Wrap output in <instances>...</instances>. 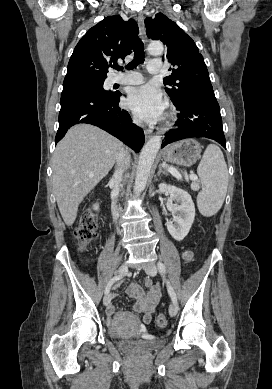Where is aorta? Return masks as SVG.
<instances>
[{
	"mask_svg": "<svg viewBox=\"0 0 272 389\" xmlns=\"http://www.w3.org/2000/svg\"><path fill=\"white\" fill-rule=\"evenodd\" d=\"M148 52L151 55L158 56L163 53V44L161 42H151L148 45ZM161 136H154L144 145L136 170V178L134 184V193H141L147 184L148 177L150 175L151 167L154 163L156 155L161 147Z\"/></svg>",
	"mask_w": 272,
	"mask_h": 389,
	"instance_id": "obj_1",
	"label": "aorta"
}]
</instances>
